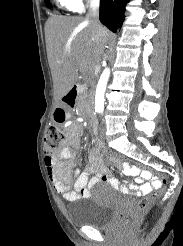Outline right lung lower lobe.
I'll return each instance as SVG.
<instances>
[{"label": "right lung lower lobe", "mask_w": 183, "mask_h": 246, "mask_svg": "<svg viewBox=\"0 0 183 246\" xmlns=\"http://www.w3.org/2000/svg\"><path fill=\"white\" fill-rule=\"evenodd\" d=\"M129 0H100V21L116 33L124 21L125 5Z\"/></svg>", "instance_id": "1"}]
</instances>
